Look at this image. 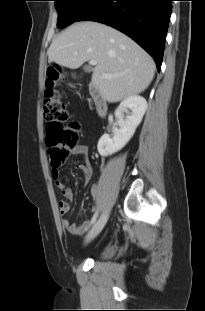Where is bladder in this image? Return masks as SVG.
I'll return each mask as SVG.
<instances>
[{"label":"bladder","mask_w":205,"mask_h":311,"mask_svg":"<svg viewBox=\"0 0 205 311\" xmlns=\"http://www.w3.org/2000/svg\"><path fill=\"white\" fill-rule=\"evenodd\" d=\"M117 247L114 245L106 246L100 253V258L109 259L116 253Z\"/></svg>","instance_id":"1"}]
</instances>
